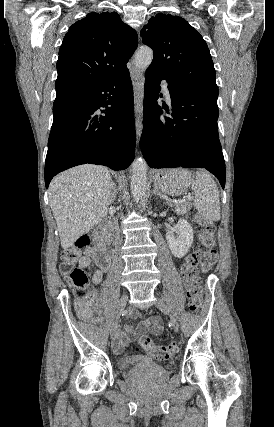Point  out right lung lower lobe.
Wrapping results in <instances>:
<instances>
[{
  "label": "right lung lower lobe",
  "instance_id": "98d812e1",
  "mask_svg": "<svg viewBox=\"0 0 274 427\" xmlns=\"http://www.w3.org/2000/svg\"><path fill=\"white\" fill-rule=\"evenodd\" d=\"M53 114L46 188L56 174L73 166L91 163L122 170L132 163L136 137L129 71L86 94L54 103Z\"/></svg>",
  "mask_w": 274,
  "mask_h": 427
}]
</instances>
